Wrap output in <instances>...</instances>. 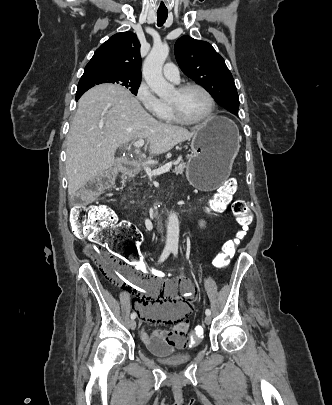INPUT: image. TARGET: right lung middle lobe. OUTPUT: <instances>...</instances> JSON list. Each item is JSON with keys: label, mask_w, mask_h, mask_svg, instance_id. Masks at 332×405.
Here are the masks:
<instances>
[{"label": "right lung middle lobe", "mask_w": 332, "mask_h": 405, "mask_svg": "<svg viewBox=\"0 0 332 405\" xmlns=\"http://www.w3.org/2000/svg\"><path fill=\"white\" fill-rule=\"evenodd\" d=\"M140 82L141 78L132 77L122 72L110 70L84 72L78 83L77 94L84 93L91 87L102 83H116L128 88L134 95H137Z\"/></svg>", "instance_id": "obj_1"}]
</instances>
